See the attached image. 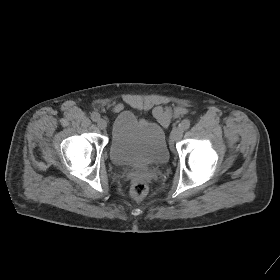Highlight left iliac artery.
Masks as SVG:
<instances>
[{
	"label": "left iliac artery",
	"mask_w": 280,
	"mask_h": 280,
	"mask_svg": "<svg viewBox=\"0 0 280 280\" xmlns=\"http://www.w3.org/2000/svg\"><path fill=\"white\" fill-rule=\"evenodd\" d=\"M183 130H187L190 127V121L188 119H184L180 125H179Z\"/></svg>",
	"instance_id": "left-iliac-artery-1"
}]
</instances>
